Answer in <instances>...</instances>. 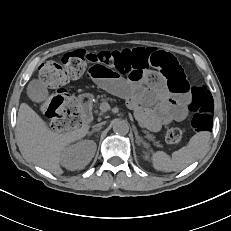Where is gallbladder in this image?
I'll return each instance as SVG.
<instances>
[{
	"instance_id": "gallbladder-1",
	"label": "gallbladder",
	"mask_w": 231,
	"mask_h": 231,
	"mask_svg": "<svg viewBox=\"0 0 231 231\" xmlns=\"http://www.w3.org/2000/svg\"><path fill=\"white\" fill-rule=\"evenodd\" d=\"M27 95L34 102H41L47 99L48 91L45 85L34 79L27 87Z\"/></svg>"
}]
</instances>
